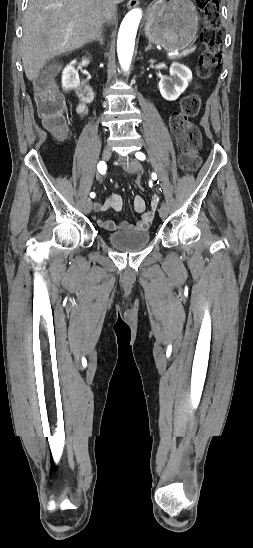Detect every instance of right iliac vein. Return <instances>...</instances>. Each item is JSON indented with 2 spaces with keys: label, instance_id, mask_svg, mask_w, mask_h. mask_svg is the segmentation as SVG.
<instances>
[{
  "label": "right iliac vein",
  "instance_id": "obj_1",
  "mask_svg": "<svg viewBox=\"0 0 253 548\" xmlns=\"http://www.w3.org/2000/svg\"><path fill=\"white\" fill-rule=\"evenodd\" d=\"M111 154V148L109 146H106L102 152V159L104 161H107L111 157ZM85 208L88 213L92 211L93 203L90 199L87 200Z\"/></svg>",
  "mask_w": 253,
  "mask_h": 548
}]
</instances>
